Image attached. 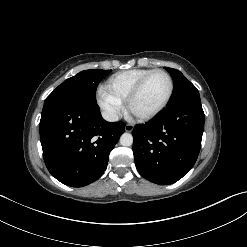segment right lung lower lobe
I'll return each instance as SVG.
<instances>
[{"label": "right lung lower lobe", "mask_w": 247, "mask_h": 247, "mask_svg": "<svg viewBox=\"0 0 247 247\" xmlns=\"http://www.w3.org/2000/svg\"><path fill=\"white\" fill-rule=\"evenodd\" d=\"M124 128L122 122L105 121L97 104L75 100L44 103L40 140L47 169L68 186L94 182L105 171Z\"/></svg>", "instance_id": "obj_1"}]
</instances>
